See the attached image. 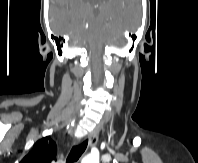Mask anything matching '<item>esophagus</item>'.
Listing matches in <instances>:
<instances>
[{
	"label": "esophagus",
	"mask_w": 198,
	"mask_h": 163,
	"mask_svg": "<svg viewBox=\"0 0 198 163\" xmlns=\"http://www.w3.org/2000/svg\"><path fill=\"white\" fill-rule=\"evenodd\" d=\"M89 142H88V146H94L95 144H97L98 142V138H99V131L98 129H95L93 132H91L89 134Z\"/></svg>",
	"instance_id": "34e87169"
}]
</instances>
